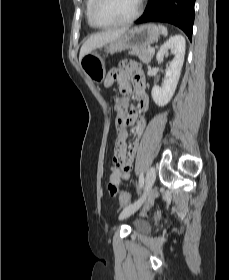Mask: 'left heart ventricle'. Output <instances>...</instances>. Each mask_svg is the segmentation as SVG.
<instances>
[{"instance_id":"left-heart-ventricle-1","label":"left heart ventricle","mask_w":229,"mask_h":280,"mask_svg":"<svg viewBox=\"0 0 229 280\" xmlns=\"http://www.w3.org/2000/svg\"><path fill=\"white\" fill-rule=\"evenodd\" d=\"M138 0H102L97 18L101 22H113L128 18L136 10Z\"/></svg>"}]
</instances>
